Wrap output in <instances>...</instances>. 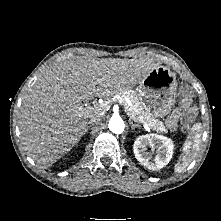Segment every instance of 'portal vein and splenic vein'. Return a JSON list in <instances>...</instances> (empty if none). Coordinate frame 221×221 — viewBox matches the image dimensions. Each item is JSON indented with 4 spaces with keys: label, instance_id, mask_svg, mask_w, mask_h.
Wrapping results in <instances>:
<instances>
[{
    "label": "portal vein and splenic vein",
    "instance_id": "portal-vein-and-splenic-vein-1",
    "mask_svg": "<svg viewBox=\"0 0 221 221\" xmlns=\"http://www.w3.org/2000/svg\"><path fill=\"white\" fill-rule=\"evenodd\" d=\"M128 103H129V105H131L130 101ZM119 104L123 105L122 102H120V101H119ZM80 109L84 113L91 112V113H94L97 115H103L109 109V106L107 103H102L99 105H94V107L85 105V107H81ZM143 125L146 129H150V127L146 123H143Z\"/></svg>",
    "mask_w": 221,
    "mask_h": 221
}]
</instances>
